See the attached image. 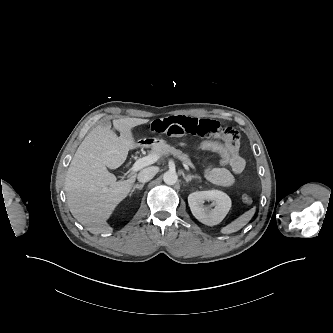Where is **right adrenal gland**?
I'll list each match as a JSON object with an SVG mask.
<instances>
[{"mask_svg":"<svg viewBox=\"0 0 333 333\" xmlns=\"http://www.w3.org/2000/svg\"><path fill=\"white\" fill-rule=\"evenodd\" d=\"M143 187H144V183L134 185L129 195L131 196L133 194V192L135 191V189L142 190Z\"/></svg>","mask_w":333,"mask_h":333,"instance_id":"2a0ac1e0","label":"right adrenal gland"}]
</instances>
